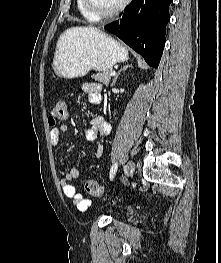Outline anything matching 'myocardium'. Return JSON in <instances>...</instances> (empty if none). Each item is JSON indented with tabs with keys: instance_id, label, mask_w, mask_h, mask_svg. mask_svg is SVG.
<instances>
[{
	"instance_id": "f54148a6",
	"label": "myocardium",
	"mask_w": 221,
	"mask_h": 263,
	"mask_svg": "<svg viewBox=\"0 0 221 263\" xmlns=\"http://www.w3.org/2000/svg\"><path fill=\"white\" fill-rule=\"evenodd\" d=\"M83 5L88 13H90L95 19H106V18H112L116 15H118L128 4L129 0H122L120 4L110 11L100 12L98 11L91 3V0H82Z\"/></svg>"
}]
</instances>
